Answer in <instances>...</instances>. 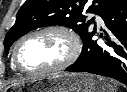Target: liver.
Masks as SVG:
<instances>
[{"label":"liver","instance_id":"obj_1","mask_svg":"<svg viewBox=\"0 0 127 92\" xmlns=\"http://www.w3.org/2000/svg\"><path fill=\"white\" fill-rule=\"evenodd\" d=\"M19 83H21V80L15 81V82H14V85H15V84H19Z\"/></svg>","mask_w":127,"mask_h":92}]
</instances>
